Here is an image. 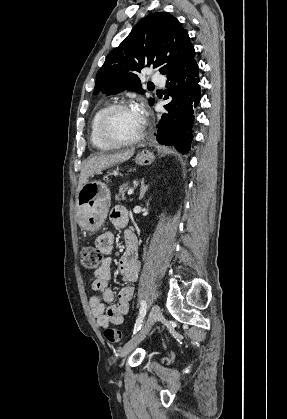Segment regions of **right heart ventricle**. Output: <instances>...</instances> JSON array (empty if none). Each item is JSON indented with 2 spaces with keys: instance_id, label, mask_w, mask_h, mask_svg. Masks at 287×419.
Returning <instances> with one entry per match:
<instances>
[{
  "instance_id": "1",
  "label": "right heart ventricle",
  "mask_w": 287,
  "mask_h": 419,
  "mask_svg": "<svg viewBox=\"0 0 287 419\" xmlns=\"http://www.w3.org/2000/svg\"><path fill=\"white\" fill-rule=\"evenodd\" d=\"M109 107L108 104L101 106L93 115L89 127V140L91 144L99 150H110L114 146L105 143L98 134V121L102 113Z\"/></svg>"
}]
</instances>
